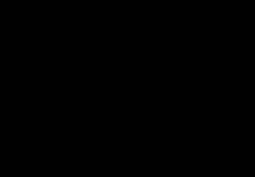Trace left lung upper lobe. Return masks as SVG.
<instances>
[{
  "mask_svg": "<svg viewBox=\"0 0 255 177\" xmlns=\"http://www.w3.org/2000/svg\"><path fill=\"white\" fill-rule=\"evenodd\" d=\"M151 43L159 52L161 65L166 67L169 53L173 48L171 40L164 36H152ZM157 83L160 105L171 111H179L182 103L180 89L175 85H166L162 76L159 77Z\"/></svg>",
  "mask_w": 255,
  "mask_h": 177,
  "instance_id": "1",
  "label": "left lung upper lobe"
}]
</instances>
